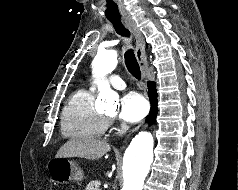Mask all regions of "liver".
I'll list each match as a JSON object with an SVG mask.
<instances>
[{"label":"liver","mask_w":238,"mask_h":190,"mask_svg":"<svg viewBox=\"0 0 238 190\" xmlns=\"http://www.w3.org/2000/svg\"><path fill=\"white\" fill-rule=\"evenodd\" d=\"M109 150L110 145L104 141L74 137L60 147L55 158L79 157L96 160L105 155Z\"/></svg>","instance_id":"liver-1"}]
</instances>
